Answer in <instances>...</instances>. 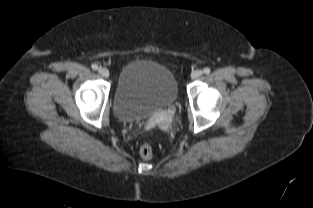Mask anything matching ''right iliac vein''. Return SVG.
Instances as JSON below:
<instances>
[{"mask_svg": "<svg viewBox=\"0 0 313 208\" xmlns=\"http://www.w3.org/2000/svg\"><path fill=\"white\" fill-rule=\"evenodd\" d=\"M98 72H99V74L102 76V77H104V78H108L109 77V70L107 69V68H105V67H100L99 69H98Z\"/></svg>", "mask_w": 313, "mask_h": 208, "instance_id": "right-iliac-vein-1", "label": "right iliac vein"}]
</instances>
